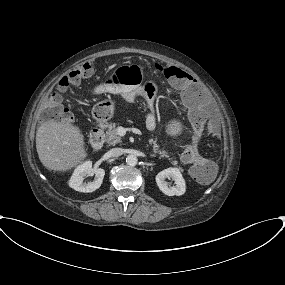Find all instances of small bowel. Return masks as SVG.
I'll use <instances>...</instances> for the list:
<instances>
[{
  "label": "small bowel",
  "mask_w": 285,
  "mask_h": 285,
  "mask_svg": "<svg viewBox=\"0 0 285 285\" xmlns=\"http://www.w3.org/2000/svg\"><path fill=\"white\" fill-rule=\"evenodd\" d=\"M108 90L120 93L128 103H133L137 99V97L142 96L145 98V100L148 102L150 106L154 104V98L148 96V94L143 88L133 83L123 86L111 87L108 88ZM154 128H155L154 115L151 112H148L146 116V129L148 131H152ZM210 179H208L207 181H209Z\"/></svg>",
  "instance_id": "small-bowel-1"
}]
</instances>
